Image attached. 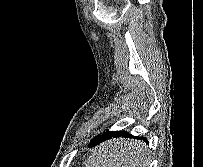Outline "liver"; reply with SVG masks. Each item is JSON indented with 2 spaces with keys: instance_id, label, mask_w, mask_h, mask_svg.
I'll return each instance as SVG.
<instances>
[{
  "instance_id": "obj_1",
  "label": "liver",
  "mask_w": 203,
  "mask_h": 167,
  "mask_svg": "<svg viewBox=\"0 0 203 167\" xmlns=\"http://www.w3.org/2000/svg\"><path fill=\"white\" fill-rule=\"evenodd\" d=\"M116 149L119 150V147L116 148ZM121 149L124 150V151H126V152H129V150H128L127 148H123V147H122V148H120V150H121Z\"/></svg>"
}]
</instances>
